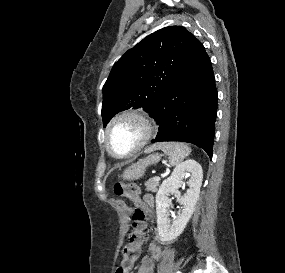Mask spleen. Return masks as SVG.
<instances>
[{
  "label": "spleen",
  "instance_id": "3e777b00",
  "mask_svg": "<svg viewBox=\"0 0 285 273\" xmlns=\"http://www.w3.org/2000/svg\"><path fill=\"white\" fill-rule=\"evenodd\" d=\"M153 150H162L168 156L169 162L173 166H178L191 152V149L181 142H161L151 146L146 152Z\"/></svg>",
  "mask_w": 285,
  "mask_h": 273
}]
</instances>
